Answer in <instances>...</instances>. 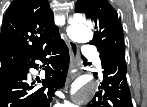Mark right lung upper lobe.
Returning a JSON list of instances; mask_svg holds the SVG:
<instances>
[{
  "label": "right lung upper lobe",
  "mask_w": 147,
  "mask_h": 107,
  "mask_svg": "<svg viewBox=\"0 0 147 107\" xmlns=\"http://www.w3.org/2000/svg\"><path fill=\"white\" fill-rule=\"evenodd\" d=\"M58 36L47 0H13L0 34L1 70L22 65Z\"/></svg>",
  "instance_id": "cb5924a9"
}]
</instances>
